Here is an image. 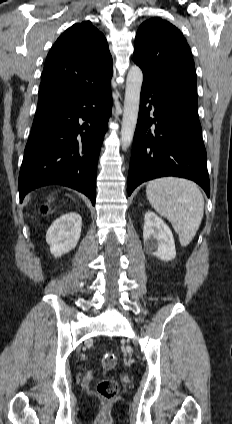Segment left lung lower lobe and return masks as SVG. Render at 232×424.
<instances>
[{
  "instance_id": "1",
  "label": "left lung lower lobe",
  "mask_w": 232,
  "mask_h": 424,
  "mask_svg": "<svg viewBox=\"0 0 232 424\" xmlns=\"http://www.w3.org/2000/svg\"><path fill=\"white\" fill-rule=\"evenodd\" d=\"M162 176L193 180L210 195L196 87L143 82L128 195L142 182Z\"/></svg>"
}]
</instances>
